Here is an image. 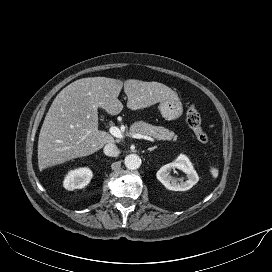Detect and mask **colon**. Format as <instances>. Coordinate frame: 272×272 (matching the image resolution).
I'll return each mask as SVG.
<instances>
[{
	"mask_svg": "<svg viewBox=\"0 0 272 272\" xmlns=\"http://www.w3.org/2000/svg\"><path fill=\"white\" fill-rule=\"evenodd\" d=\"M186 120L188 126L193 131L196 139L201 143H207L209 141V135L202 127V119L198 109L191 105L186 114Z\"/></svg>",
	"mask_w": 272,
	"mask_h": 272,
	"instance_id": "colon-1",
	"label": "colon"
}]
</instances>
